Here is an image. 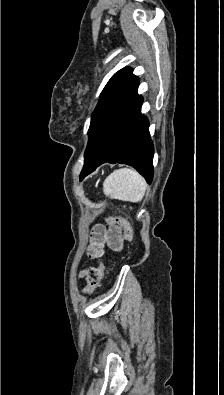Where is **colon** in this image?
I'll use <instances>...</instances> for the list:
<instances>
[{
	"label": "colon",
	"instance_id": "colon-1",
	"mask_svg": "<svg viewBox=\"0 0 224 395\" xmlns=\"http://www.w3.org/2000/svg\"><path fill=\"white\" fill-rule=\"evenodd\" d=\"M111 225L114 228H122L123 229V239L125 241H130L132 239V230L129 226L127 220L121 217H110L109 218ZM105 272V262L103 260H99L98 263L94 266H91L86 271V285L84 286V293L92 294L94 293L102 280Z\"/></svg>",
	"mask_w": 224,
	"mask_h": 395
}]
</instances>
